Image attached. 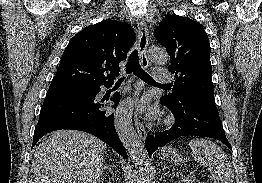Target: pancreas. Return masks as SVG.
<instances>
[{
    "instance_id": "obj_1",
    "label": "pancreas",
    "mask_w": 262,
    "mask_h": 183,
    "mask_svg": "<svg viewBox=\"0 0 262 183\" xmlns=\"http://www.w3.org/2000/svg\"><path fill=\"white\" fill-rule=\"evenodd\" d=\"M190 176H193V175H190ZM190 176H188L189 181H187V183H195L196 179L194 178V176H193V178H190Z\"/></svg>"
}]
</instances>
